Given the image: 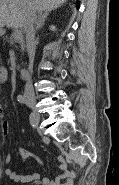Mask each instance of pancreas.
Masks as SVG:
<instances>
[{
	"mask_svg": "<svg viewBox=\"0 0 119 185\" xmlns=\"http://www.w3.org/2000/svg\"><path fill=\"white\" fill-rule=\"evenodd\" d=\"M6 39L11 46H13L14 44H19V47L21 48L22 51L25 49V42L22 35L20 39H15L13 35Z\"/></svg>",
	"mask_w": 119,
	"mask_h": 185,
	"instance_id": "pancreas-1",
	"label": "pancreas"
}]
</instances>
